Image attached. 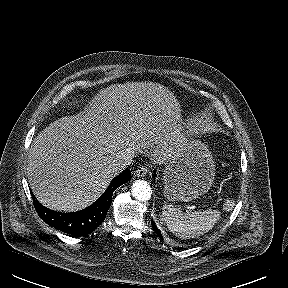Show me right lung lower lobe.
I'll use <instances>...</instances> for the list:
<instances>
[{
  "mask_svg": "<svg viewBox=\"0 0 288 288\" xmlns=\"http://www.w3.org/2000/svg\"><path fill=\"white\" fill-rule=\"evenodd\" d=\"M131 172L125 169L114 178L102 196L88 208L72 212L61 213L50 210L38 202L33 195L35 209L38 215L48 225L72 236H84L93 232L104 221L110 208L113 192L131 179Z\"/></svg>",
  "mask_w": 288,
  "mask_h": 288,
  "instance_id": "1",
  "label": "right lung lower lobe"
}]
</instances>
